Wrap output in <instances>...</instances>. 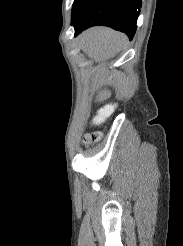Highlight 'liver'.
I'll list each match as a JSON object with an SVG mask.
<instances>
[{"label":"liver","mask_w":183,"mask_h":246,"mask_svg":"<svg viewBox=\"0 0 183 246\" xmlns=\"http://www.w3.org/2000/svg\"><path fill=\"white\" fill-rule=\"evenodd\" d=\"M82 49L89 58L96 63H101L113 58L127 43V37L106 27H93L84 31L79 37ZM97 82L105 83L106 76L99 70L96 73ZM109 91L102 90L99 93L101 99L108 97Z\"/></svg>","instance_id":"6515ba94"}]
</instances>
